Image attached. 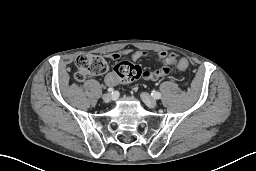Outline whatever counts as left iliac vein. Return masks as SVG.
<instances>
[{
	"mask_svg": "<svg viewBox=\"0 0 256 171\" xmlns=\"http://www.w3.org/2000/svg\"><path fill=\"white\" fill-rule=\"evenodd\" d=\"M141 99L150 108H155L157 106V101L146 92L141 93Z\"/></svg>",
	"mask_w": 256,
	"mask_h": 171,
	"instance_id": "1",
	"label": "left iliac vein"
}]
</instances>
